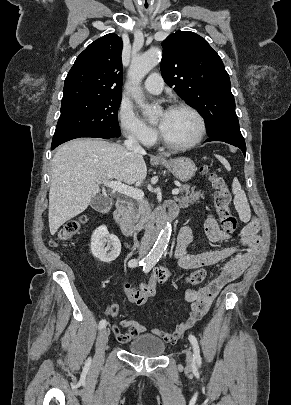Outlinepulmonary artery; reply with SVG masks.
Masks as SVG:
<instances>
[{
  "label": "pulmonary artery",
  "instance_id": "e3ab8cb5",
  "mask_svg": "<svg viewBox=\"0 0 291 405\" xmlns=\"http://www.w3.org/2000/svg\"><path fill=\"white\" fill-rule=\"evenodd\" d=\"M164 87V81L159 73H151L144 82V88L153 94H159Z\"/></svg>",
  "mask_w": 291,
  "mask_h": 405
}]
</instances>
